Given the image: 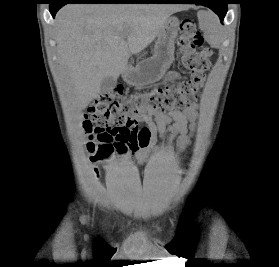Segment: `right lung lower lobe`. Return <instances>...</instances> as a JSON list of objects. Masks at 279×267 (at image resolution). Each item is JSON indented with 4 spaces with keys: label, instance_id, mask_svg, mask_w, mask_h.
Instances as JSON below:
<instances>
[{
    "label": "right lung lower lobe",
    "instance_id": "right-lung-lower-lobe-1",
    "mask_svg": "<svg viewBox=\"0 0 279 267\" xmlns=\"http://www.w3.org/2000/svg\"><path fill=\"white\" fill-rule=\"evenodd\" d=\"M162 0H52L50 4V13L53 18L56 12L67 3H159Z\"/></svg>",
    "mask_w": 279,
    "mask_h": 267
}]
</instances>
